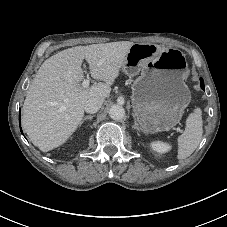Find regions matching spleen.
I'll return each instance as SVG.
<instances>
[{"instance_id": "spleen-1", "label": "spleen", "mask_w": 227, "mask_h": 227, "mask_svg": "<svg viewBox=\"0 0 227 227\" xmlns=\"http://www.w3.org/2000/svg\"><path fill=\"white\" fill-rule=\"evenodd\" d=\"M202 126L201 110L197 108L187 117L185 130L177 139L178 159L182 160L189 157L198 147L203 134Z\"/></svg>"}]
</instances>
